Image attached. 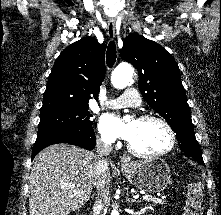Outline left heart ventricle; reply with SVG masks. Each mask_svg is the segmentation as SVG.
I'll return each mask as SVG.
<instances>
[{"mask_svg":"<svg viewBox=\"0 0 221 215\" xmlns=\"http://www.w3.org/2000/svg\"><path fill=\"white\" fill-rule=\"evenodd\" d=\"M133 131L129 143L143 153H154L165 149L169 139L165 128L157 121H132Z\"/></svg>","mask_w":221,"mask_h":215,"instance_id":"left-heart-ventricle-1","label":"left heart ventricle"}]
</instances>
